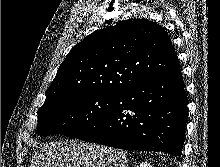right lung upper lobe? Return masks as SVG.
Listing matches in <instances>:
<instances>
[{
    "instance_id": "right-lung-upper-lobe-1",
    "label": "right lung upper lobe",
    "mask_w": 220,
    "mask_h": 167,
    "mask_svg": "<svg viewBox=\"0 0 220 167\" xmlns=\"http://www.w3.org/2000/svg\"><path fill=\"white\" fill-rule=\"evenodd\" d=\"M180 68L168 33L145 19H128L87 36L60 65L46 101L66 93L120 92Z\"/></svg>"
}]
</instances>
